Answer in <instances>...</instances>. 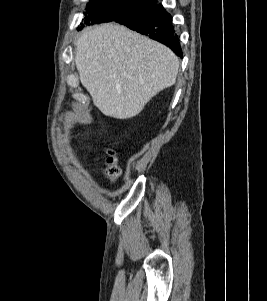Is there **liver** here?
Returning a JSON list of instances; mask_svg holds the SVG:
<instances>
[{
    "label": "liver",
    "instance_id": "1",
    "mask_svg": "<svg viewBox=\"0 0 267 301\" xmlns=\"http://www.w3.org/2000/svg\"><path fill=\"white\" fill-rule=\"evenodd\" d=\"M75 44L81 84L106 116L135 117L156 94L176 82L178 57L122 25L84 29Z\"/></svg>",
    "mask_w": 267,
    "mask_h": 301
}]
</instances>
